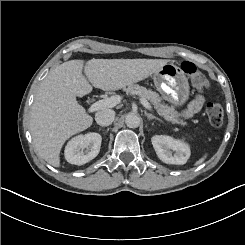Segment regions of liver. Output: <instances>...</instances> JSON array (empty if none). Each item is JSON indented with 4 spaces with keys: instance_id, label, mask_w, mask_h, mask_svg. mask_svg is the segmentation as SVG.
Returning <instances> with one entry per match:
<instances>
[{
    "instance_id": "1",
    "label": "liver",
    "mask_w": 245,
    "mask_h": 245,
    "mask_svg": "<svg viewBox=\"0 0 245 245\" xmlns=\"http://www.w3.org/2000/svg\"><path fill=\"white\" fill-rule=\"evenodd\" d=\"M168 60L91 59L66 61L52 69L41 83L30 117V131L39 155L53 166L59 164L64 141L88 128L92 117L78 104L82 96L95 88L117 90L153 74ZM91 84L89 83V81Z\"/></svg>"
}]
</instances>
